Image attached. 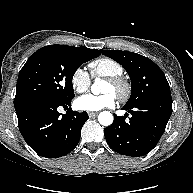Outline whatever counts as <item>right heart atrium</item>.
<instances>
[{
    "label": "right heart atrium",
    "instance_id": "right-heart-atrium-1",
    "mask_svg": "<svg viewBox=\"0 0 193 193\" xmlns=\"http://www.w3.org/2000/svg\"><path fill=\"white\" fill-rule=\"evenodd\" d=\"M70 84L73 90L77 93L87 91L91 85L89 73L82 67H77L71 74Z\"/></svg>",
    "mask_w": 193,
    "mask_h": 193
}]
</instances>
